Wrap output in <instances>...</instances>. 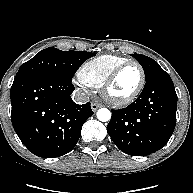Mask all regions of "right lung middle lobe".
<instances>
[{
  "label": "right lung middle lobe",
  "mask_w": 193,
  "mask_h": 193,
  "mask_svg": "<svg viewBox=\"0 0 193 193\" xmlns=\"http://www.w3.org/2000/svg\"><path fill=\"white\" fill-rule=\"evenodd\" d=\"M85 51H61L56 48H46L25 62L15 78L27 75H50L72 81L82 63L94 56Z\"/></svg>",
  "instance_id": "obj_1"
}]
</instances>
